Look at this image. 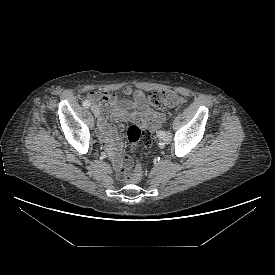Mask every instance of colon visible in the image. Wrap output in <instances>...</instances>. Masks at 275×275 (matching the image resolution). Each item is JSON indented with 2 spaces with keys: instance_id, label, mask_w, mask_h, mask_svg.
I'll list each match as a JSON object with an SVG mask.
<instances>
[{
  "instance_id": "5ec220e1",
  "label": "colon",
  "mask_w": 275,
  "mask_h": 275,
  "mask_svg": "<svg viewBox=\"0 0 275 275\" xmlns=\"http://www.w3.org/2000/svg\"><path fill=\"white\" fill-rule=\"evenodd\" d=\"M148 102L157 108L163 109L167 107H176L184 102L182 96L172 90H159L152 91L148 94ZM143 137L146 146L152 145V136L148 130H142L138 125H132L127 130V139L132 149H135ZM124 169L125 179L128 183H137L142 177V170L139 162L137 161L134 169L130 168V162Z\"/></svg>"
}]
</instances>
